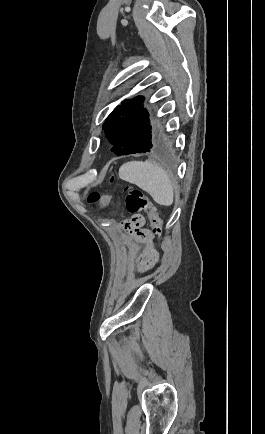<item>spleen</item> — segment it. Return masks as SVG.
I'll list each match as a JSON object with an SVG mask.
<instances>
[{
  "label": "spleen",
  "instance_id": "obj_1",
  "mask_svg": "<svg viewBox=\"0 0 265 434\" xmlns=\"http://www.w3.org/2000/svg\"><path fill=\"white\" fill-rule=\"evenodd\" d=\"M119 178L136 184L150 194L156 204L171 206L174 190L170 178L162 168L151 162H127L119 168Z\"/></svg>",
  "mask_w": 265,
  "mask_h": 434
}]
</instances>
